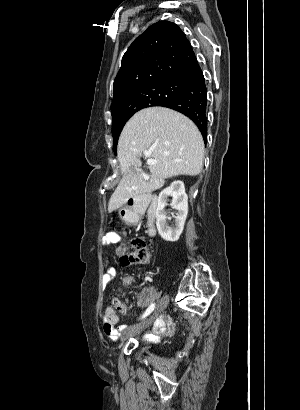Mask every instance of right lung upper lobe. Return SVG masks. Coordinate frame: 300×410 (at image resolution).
I'll return each instance as SVG.
<instances>
[{
  "mask_svg": "<svg viewBox=\"0 0 300 410\" xmlns=\"http://www.w3.org/2000/svg\"><path fill=\"white\" fill-rule=\"evenodd\" d=\"M199 68L190 42L176 24H153L122 58L113 84L111 114H118L122 100L132 91L165 83L185 84Z\"/></svg>",
  "mask_w": 300,
  "mask_h": 410,
  "instance_id": "cb5924a9",
  "label": "right lung upper lobe"
}]
</instances>
